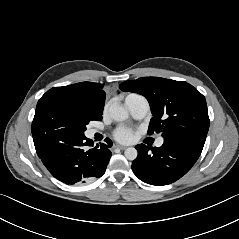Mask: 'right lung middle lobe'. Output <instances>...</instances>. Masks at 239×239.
I'll return each instance as SVG.
<instances>
[{
    "label": "right lung middle lobe",
    "instance_id": "obj_1",
    "mask_svg": "<svg viewBox=\"0 0 239 239\" xmlns=\"http://www.w3.org/2000/svg\"><path fill=\"white\" fill-rule=\"evenodd\" d=\"M102 111L84 100L64 93H45L38 101L32 122L36 150L70 135H84L86 125L101 120Z\"/></svg>",
    "mask_w": 239,
    "mask_h": 239
}]
</instances>
